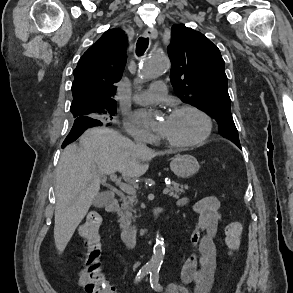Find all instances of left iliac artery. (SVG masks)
<instances>
[{
    "label": "left iliac artery",
    "mask_w": 293,
    "mask_h": 293,
    "mask_svg": "<svg viewBox=\"0 0 293 293\" xmlns=\"http://www.w3.org/2000/svg\"><path fill=\"white\" fill-rule=\"evenodd\" d=\"M150 284L155 291H161L162 286L159 283V269H152L150 272Z\"/></svg>",
    "instance_id": "1"
}]
</instances>
